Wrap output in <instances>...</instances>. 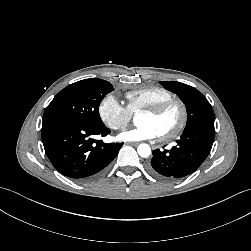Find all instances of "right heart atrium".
I'll use <instances>...</instances> for the list:
<instances>
[{
    "label": "right heart atrium",
    "instance_id": "1",
    "mask_svg": "<svg viewBox=\"0 0 251 251\" xmlns=\"http://www.w3.org/2000/svg\"><path fill=\"white\" fill-rule=\"evenodd\" d=\"M98 114L102 122L112 130L124 129L132 113L115 96H105L99 104Z\"/></svg>",
    "mask_w": 251,
    "mask_h": 251
}]
</instances>
